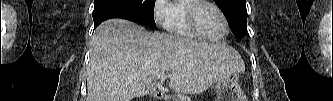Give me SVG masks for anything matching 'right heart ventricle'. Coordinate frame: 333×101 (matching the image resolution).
<instances>
[{"label": "right heart ventricle", "mask_w": 333, "mask_h": 101, "mask_svg": "<svg viewBox=\"0 0 333 101\" xmlns=\"http://www.w3.org/2000/svg\"><path fill=\"white\" fill-rule=\"evenodd\" d=\"M190 2V0H178L174 2L168 29L176 36L198 39L199 37L189 28L186 19V8Z\"/></svg>", "instance_id": "obj_1"}]
</instances>
